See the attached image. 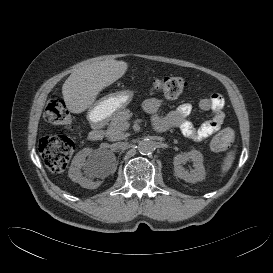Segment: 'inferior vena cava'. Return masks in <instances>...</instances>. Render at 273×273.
Segmentation results:
<instances>
[{
	"instance_id": "1",
	"label": "inferior vena cava",
	"mask_w": 273,
	"mask_h": 273,
	"mask_svg": "<svg viewBox=\"0 0 273 273\" xmlns=\"http://www.w3.org/2000/svg\"><path fill=\"white\" fill-rule=\"evenodd\" d=\"M128 147V143L127 142H117L113 144V148L115 150H124Z\"/></svg>"
}]
</instances>
